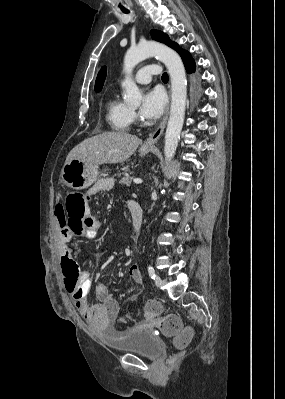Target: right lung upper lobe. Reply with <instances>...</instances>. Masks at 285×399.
Segmentation results:
<instances>
[{
	"instance_id": "cb5924a9",
	"label": "right lung upper lobe",
	"mask_w": 285,
	"mask_h": 399,
	"mask_svg": "<svg viewBox=\"0 0 285 399\" xmlns=\"http://www.w3.org/2000/svg\"><path fill=\"white\" fill-rule=\"evenodd\" d=\"M106 72H107V70H106L105 66L102 67L101 70L99 71L98 76L96 78V83H95V91L96 92L101 91L103 84H104L105 77H106Z\"/></svg>"
}]
</instances>
